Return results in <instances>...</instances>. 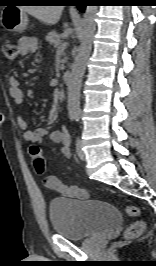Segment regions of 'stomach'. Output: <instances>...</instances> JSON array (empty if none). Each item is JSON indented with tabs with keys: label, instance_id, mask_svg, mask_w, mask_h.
<instances>
[{
	"label": "stomach",
	"instance_id": "1",
	"mask_svg": "<svg viewBox=\"0 0 156 266\" xmlns=\"http://www.w3.org/2000/svg\"><path fill=\"white\" fill-rule=\"evenodd\" d=\"M2 21L3 25L10 31L22 32L28 25L27 16L19 8L5 10Z\"/></svg>",
	"mask_w": 156,
	"mask_h": 266
}]
</instances>
